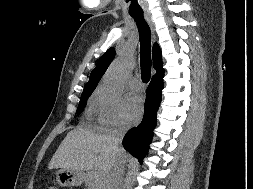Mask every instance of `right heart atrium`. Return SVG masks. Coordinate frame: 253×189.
I'll return each instance as SVG.
<instances>
[{"instance_id": "d8ad5b80", "label": "right heart atrium", "mask_w": 253, "mask_h": 189, "mask_svg": "<svg viewBox=\"0 0 253 189\" xmlns=\"http://www.w3.org/2000/svg\"><path fill=\"white\" fill-rule=\"evenodd\" d=\"M94 107L98 123L106 130L122 129L124 127V105L118 97L99 89L94 94Z\"/></svg>"}]
</instances>
